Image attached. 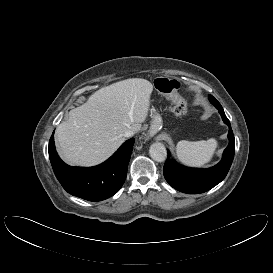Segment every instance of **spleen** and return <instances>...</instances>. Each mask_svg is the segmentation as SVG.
Listing matches in <instances>:
<instances>
[{
	"label": "spleen",
	"mask_w": 273,
	"mask_h": 273,
	"mask_svg": "<svg viewBox=\"0 0 273 273\" xmlns=\"http://www.w3.org/2000/svg\"><path fill=\"white\" fill-rule=\"evenodd\" d=\"M217 145L214 138L207 141L182 140L177 143L176 153L178 159L185 165L202 167L211 161Z\"/></svg>",
	"instance_id": "spleen-1"
}]
</instances>
